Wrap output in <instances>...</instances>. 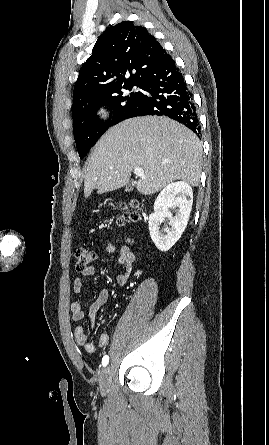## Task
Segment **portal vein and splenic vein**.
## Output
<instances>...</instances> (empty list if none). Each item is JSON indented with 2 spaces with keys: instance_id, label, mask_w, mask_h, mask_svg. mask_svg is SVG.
I'll return each mask as SVG.
<instances>
[{
  "instance_id": "portal-vein-and-splenic-vein-1",
  "label": "portal vein and splenic vein",
  "mask_w": 269,
  "mask_h": 445,
  "mask_svg": "<svg viewBox=\"0 0 269 445\" xmlns=\"http://www.w3.org/2000/svg\"><path fill=\"white\" fill-rule=\"evenodd\" d=\"M134 174L141 177L144 175V169L141 167H136L134 169Z\"/></svg>"
}]
</instances>
